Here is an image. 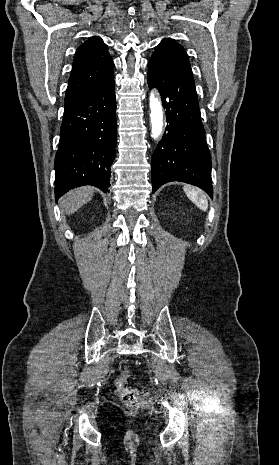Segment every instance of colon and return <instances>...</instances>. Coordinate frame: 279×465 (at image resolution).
I'll use <instances>...</instances> for the list:
<instances>
[{"label": "colon", "instance_id": "colon-1", "mask_svg": "<svg viewBox=\"0 0 279 465\" xmlns=\"http://www.w3.org/2000/svg\"><path fill=\"white\" fill-rule=\"evenodd\" d=\"M128 378V371L124 368L121 375L116 379V391L125 405L135 408L140 405L141 399L139 391L129 385Z\"/></svg>", "mask_w": 279, "mask_h": 465}]
</instances>
